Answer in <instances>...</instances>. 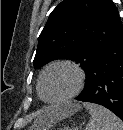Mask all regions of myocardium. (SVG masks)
Returning <instances> with one entry per match:
<instances>
[{
  "mask_svg": "<svg viewBox=\"0 0 123 130\" xmlns=\"http://www.w3.org/2000/svg\"><path fill=\"white\" fill-rule=\"evenodd\" d=\"M58 66L68 67L75 72L76 77H77L76 85L69 94H67L59 99L49 100V99H46L43 94V79H44V76L46 75V73L50 69H52L54 67H58ZM84 83H85V72L80 67V65L69 59H60V60L51 62L42 70V72L39 76V80H38V93H39L40 98L43 101L50 103V104H59V103L66 102V101L74 98L75 96H77L79 94V92L82 90Z\"/></svg>",
  "mask_w": 123,
  "mask_h": 130,
  "instance_id": "obj_1",
  "label": "myocardium"
}]
</instances>
